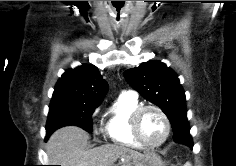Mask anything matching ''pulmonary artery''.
<instances>
[{
  "label": "pulmonary artery",
  "instance_id": "pulmonary-artery-1",
  "mask_svg": "<svg viewBox=\"0 0 236 166\" xmlns=\"http://www.w3.org/2000/svg\"><path fill=\"white\" fill-rule=\"evenodd\" d=\"M122 94H128V95L136 96V93L134 91H124Z\"/></svg>",
  "mask_w": 236,
  "mask_h": 166
}]
</instances>
